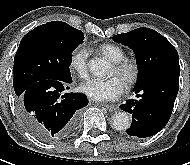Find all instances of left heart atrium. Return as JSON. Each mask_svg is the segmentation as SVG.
<instances>
[{
	"instance_id": "1",
	"label": "left heart atrium",
	"mask_w": 190,
	"mask_h": 165,
	"mask_svg": "<svg viewBox=\"0 0 190 165\" xmlns=\"http://www.w3.org/2000/svg\"><path fill=\"white\" fill-rule=\"evenodd\" d=\"M81 91L96 101H111L124 92V83L116 76L107 80L92 79L81 86Z\"/></svg>"
}]
</instances>
